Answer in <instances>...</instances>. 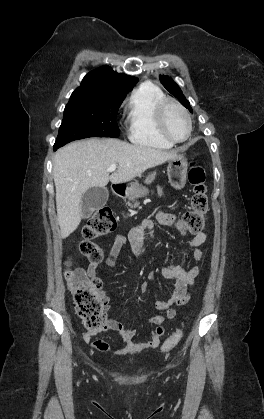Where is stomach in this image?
<instances>
[{
    "label": "stomach",
    "instance_id": "0dacf381",
    "mask_svg": "<svg viewBox=\"0 0 264 419\" xmlns=\"http://www.w3.org/2000/svg\"><path fill=\"white\" fill-rule=\"evenodd\" d=\"M188 164L185 157L181 154L173 159L169 160L167 167V174L169 183L175 189H182L186 184ZM148 191L142 188L137 182L132 183L130 187H127L125 195L128 199L134 200L147 194ZM158 194H162V189L158 187Z\"/></svg>",
    "mask_w": 264,
    "mask_h": 419
}]
</instances>
